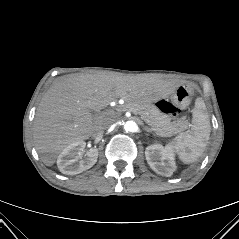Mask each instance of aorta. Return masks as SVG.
Listing matches in <instances>:
<instances>
[{
    "mask_svg": "<svg viewBox=\"0 0 239 239\" xmlns=\"http://www.w3.org/2000/svg\"><path fill=\"white\" fill-rule=\"evenodd\" d=\"M137 128L138 126L135 121L130 120L124 123V130L126 132H129V133L135 132Z\"/></svg>",
    "mask_w": 239,
    "mask_h": 239,
    "instance_id": "aorta-1",
    "label": "aorta"
}]
</instances>
